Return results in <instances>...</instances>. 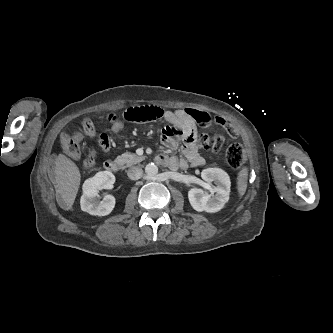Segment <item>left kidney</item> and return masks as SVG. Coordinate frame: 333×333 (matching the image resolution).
<instances>
[{
	"mask_svg": "<svg viewBox=\"0 0 333 333\" xmlns=\"http://www.w3.org/2000/svg\"><path fill=\"white\" fill-rule=\"evenodd\" d=\"M207 189L192 188L188 191V199L192 208L198 212L215 213L221 210L229 200L231 181L229 175L219 168H207L201 172ZM212 182L215 185H212Z\"/></svg>",
	"mask_w": 333,
	"mask_h": 333,
	"instance_id": "5707ae66",
	"label": "left kidney"
}]
</instances>
